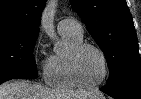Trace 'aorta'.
I'll list each match as a JSON object with an SVG mask.
<instances>
[{"label": "aorta", "mask_w": 141, "mask_h": 99, "mask_svg": "<svg viewBox=\"0 0 141 99\" xmlns=\"http://www.w3.org/2000/svg\"><path fill=\"white\" fill-rule=\"evenodd\" d=\"M56 11L57 2L50 1L47 3L41 17V27L50 39H55L54 17Z\"/></svg>", "instance_id": "1"}]
</instances>
